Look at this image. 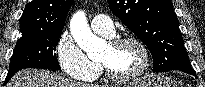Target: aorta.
Segmentation results:
<instances>
[{
	"label": "aorta",
	"mask_w": 205,
	"mask_h": 87,
	"mask_svg": "<svg viewBox=\"0 0 205 87\" xmlns=\"http://www.w3.org/2000/svg\"><path fill=\"white\" fill-rule=\"evenodd\" d=\"M70 32L76 44L89 54L105 45V41L91 31L83 11L76 12L71 18Z\"/></svg>",
	"instance_id": "obj_1"
}]
</instances>
